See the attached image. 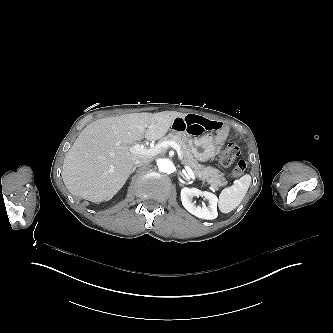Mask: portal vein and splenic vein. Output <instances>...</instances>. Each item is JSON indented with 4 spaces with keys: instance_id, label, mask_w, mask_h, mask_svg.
<instances>
[{
    "instance_id": "portal-vein-and-splenic-vein-1",
    "label": "portal vein and splenic vein",
    "mask_w": 333,
    "mask_h": 333,
    "mask_svg": "<svg viewBox=\"0 0 333 333\" xmlns=\"http://www.w3.org/2000/svg\"><path fill=\"white\" fill-rule=\"evenodd\" d=\"M146 127H148V125H146ZM168 147H171L172 149H174L177 152V156L178 159L180 161H183V151L180 147V145H178L176 142L174 141H169V142H162L159 144H156L154 147L152 148H145L144 145L136 143L134 147H132V152L134 154H138L141 156H155L158 155L159 153H161L163 150H166ZM184 169L187 171L189 177L192 180H196V176L192 170V168L189 165H184Z\"/></svg>"
}]
</instances>
